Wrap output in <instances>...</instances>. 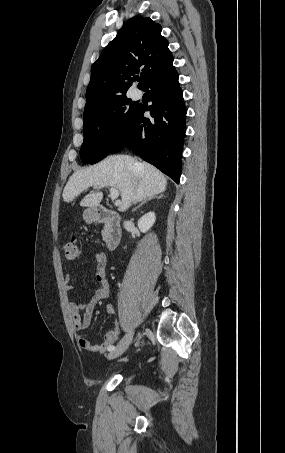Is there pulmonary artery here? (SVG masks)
<instances>
[{
	"label": "pulmonary artery",
	"instance_id": "obj_1",
	"mask_svg": "<svg viewBox=\"0 0 285 453\" xmlns=\"http://www.w3.org/2000/svg\"><path fill=\"white\" fill-rule=\"evenodd\" d=\"M141 96V92L139 90H135L133 92V98L137 99Z\"/></svg>",
	"mask_w": 285,
	"mask_h": 453
}]
</instances>
